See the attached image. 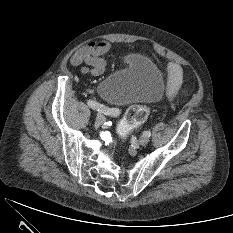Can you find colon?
<instances>
[{
  "label": "colon",
  "mask_w": 233,
  "mask_h": 233,
  "mask_svg": "<svg viewBox=\"0 0 233 233\" xmlns=\"http://www.w3.org/2000/svg\"><path fill=\"white\" fill-rule=\"evenodd\" d=\"M149 109L142 105H133L127 109L118 125V133L125 138L133 129L146 121Z\"/></svg>",
  "instance_id": "1"
}]
</instances>
